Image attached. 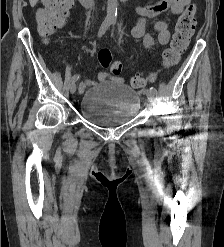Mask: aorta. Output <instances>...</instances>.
I'll return each instance as SVG.
<instances>
[{
	"mask_svg": "<svg viewBox=\"0 0 224 247\" xmlns=\"http://www.w3.org/2000/svg\"><path fill=\"white\" fill-rule=\"evenodd\" d=\"M118 14V0H107V16L109 20H116Z\"/></svg>",
	"mask_w": 224,
	"mask_h": 247,
	"instance_id": "1",
	"label": "aorta"
}]
</instances>
